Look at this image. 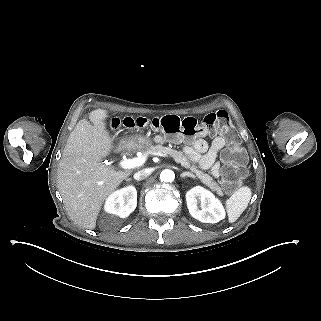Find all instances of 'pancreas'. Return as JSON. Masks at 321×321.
<instances>
[{
  "mask_svg": "<svg viewBox=\"0 0 321 321\" xmlns=\"http://www.w3.org/2000/svg\"><path fill=\"white\" fill-rule=\"evenodd\" d=\"M128 152L141 151L143 155L149 156L155 153H161L171 156L175 162L180 163L181 166L190 169L193 172L195 177L199 178L203 184L208 186L212 191H215L219 196H223V191L213 178L203 171L199 170L196 165L191 164L189 158L184 155L183 152L171 149L169 147H164L162 145H150L146 148H133L131 146L126 147L125 149Z\"/></svg>",
  "mask_w": 321,
  "mask_h": 321,
  "instance_id": "cf45deb5",
  "label": "pancreas"
}]
</instances>
